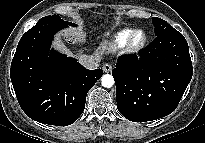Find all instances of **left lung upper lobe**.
Returning <instances> with one entry per match:
<instances>
[{"label": "left lung upper lobe", "instance_id": "obj_1", "mask_svg": "<svg viewBox=\"0 0 205 143\" xmlns=\"http://www.w3.org/2000/svg\"><path fill=\"white\" fill-rule=\"evenodd\" d=\"M153 23L155 26L156 36L164 35L176 30L171 25H169L165 20L157 17H153Z\"/></svg>", "mask_w": 205, "mask_h": 143}]
</instances>
